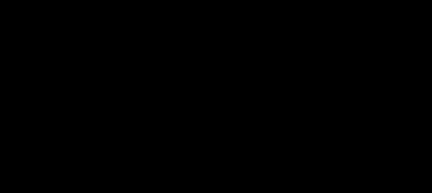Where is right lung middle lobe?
<instances>
[{
    "label": "right lung middle lobe",
    "instance_id": "dd1d6c3e",
    "mask_svg": "<svg viewBox=\"0 0 432 193\" xmlns=\"http://www.w3.org/2000/svg\"><path fill=\"white\" fill-rule=\"evenodd\" d=\"M210 41L178 31L151 38L128 61L121 78L119 106L146 96L182 101L193 97L187 80L192 58Z\"/></svg>",
    "mask_w": 432,
    "mask_h": 193
}]
</instances>
